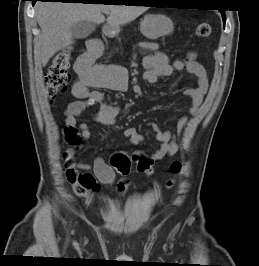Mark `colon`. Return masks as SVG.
<instances>
[{
  "label": "colon",
  "instance_id": "colon-1",
  "mask_svg": "<svg viewBox=\"0 0 259 266\" xmlns=\"http://www.w3.org/2000/svg\"><path fill=\"white\" fill-rule=\"evenodd\" d=\"M211 34V26L208 22H200L196 26V35L200 38H207ZM194 54L188 56V60L192 61ZM70 62L71 53L69 50H63L57 53L45 73V83L47 93L51 98L66 90L70 81ZM66 141L71 145H77L80 142L78 130L74 127H67L65 129ZM132 164L135 165L136 170L146 176H151L154 172L153 161L143 155L136 154L129 157L125 154H116L111 160V165L120 175H128L131 171ZM182 166L180 162H173L170 170L173 175H179ZM174 178L167 181V187L171 188L174 185Z\"/></svg>",
  "mask_w": 259,
  "mask_h": 266
}]
</instances>
